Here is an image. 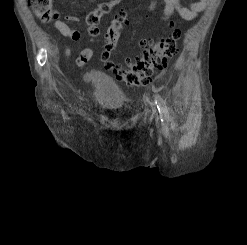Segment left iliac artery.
<instances>
[{"instance_id":"44dca946","label":"left iliac artery","mask_w":247,"mask_h":245,"mask_svg":"<svg viewBox=\"0 0 247 245\" xmlns=\"http://www.w3.org/2000/svg\"><path fill=\"white\" fill-rule=\"evenodd\" d=\"M155 104L160 113L161 121L163 122L164 125H166L169 120V112H168L165 101L163 100L161 96L156 95Z\"/></svg>"}]
</instances>
